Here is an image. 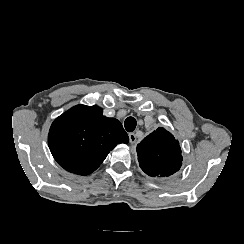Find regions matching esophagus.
<instances>
[{
    "mask_svg": "<svg viewBox=\"0 0 244 244\" xmlns=\"http://www.w3.org/2000/svg\"><path fill=\"white\" fill-rule=\"evenodd\" d=\"M128 136H129V141H130V143H131V144H134V143L136 142V135H135V133L130 132V133L128 134Z\"/></svg>",
    "mask_w": 244,
    "mask_h": 244,
    "instance_id": "1",
    "label": "esophagus"
}]
</instances>
